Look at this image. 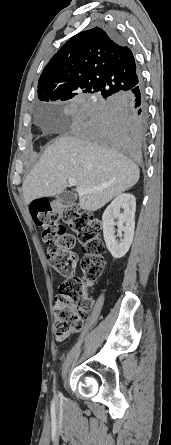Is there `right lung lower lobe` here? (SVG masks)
Wrapping results in <instances>:
<instances>
[{
    "instance_id": "right-lung-lower-lobe-1",
    "label": "right lung lower lobe",
    "mask_w": 171,
    "mask_h": 445,
    "mask_svg": "<svg viewBox=\"0 0 171 445\" xmlns=\"http://www.w3.org/2000/svg\"><path fill=\"white\" fill-rule=\"evenodd\" d=\"M122 42L114 29L109 30ZM91 123L89 135L132 160H140L147 108L142 85L123 95H104L87 112Z\"/></svg>"
}]
</instances>
